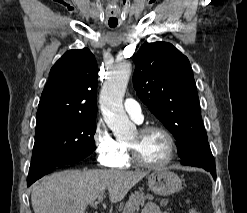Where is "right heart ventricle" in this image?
I'll return each mask as SVG.
<instances>
[{
    "label": "right heart ventricle",
    "instance_id": "1",
    "mask_svg": "<svg viewBox=\"0 0 247 213\" xmlns=\"http://www.w3.org/2000/svg\"><path fill=\"white\" fill-rule=\"evenodd\" d=\"M120 145L122 147L123 154L118 164L116 165V167L122 168V169L129 168L131 166V161L129 160L126 146L124 144H120Z\"/></svg>",
    "mask_w": 247,
    "mask_h": 213
}]
</instances>
